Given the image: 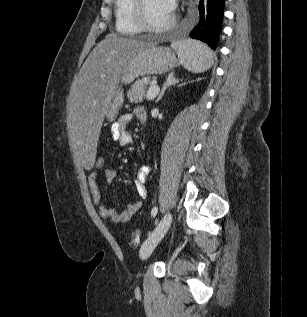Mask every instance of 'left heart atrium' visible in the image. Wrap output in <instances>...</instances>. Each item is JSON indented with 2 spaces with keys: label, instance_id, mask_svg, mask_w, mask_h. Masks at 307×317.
I'll return each mask as SVG.
<instances>
[{
  "label": "left heart atrium",
  "instance_id": "39dd6f15",
  "mask_svg": "<svg viewBox=\"0 0 307 317\" xmlns=\"http://www.w3.org/2000/svg\"><path fill=\"white\" fill-rule=\"evenodd\" d=\"M165 2L171 11L175 9V6H176L175 0H165Z\"/></svg>",
  "mask_w": 307,
  "mask_h": 317
}]
</instances>
